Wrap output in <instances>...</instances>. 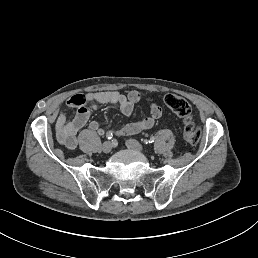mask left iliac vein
<instances>
[{"label": "left iliac vein", "mask_w": 258, "mask_h": 258, "mask_svg": "<svg viewBox=\"0 0 258 258\" xmlns=\"http://www.w3.org/2000/svg\"><path fill=\"white\" fill-rule=\"evenodd\" d=\"M125 145L130 150H136L137 152H141L142 157H147V152L142 151L143 146L140 143H138L136 139H129L128 141H125Z\"/></svg>", "instance_id": "1"}]
</instances>
